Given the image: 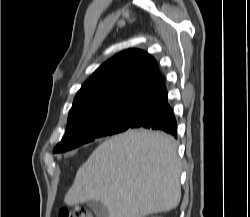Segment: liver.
Wrapping results in <instances>:
<instances>
[{
  "label": "liver",
  "mask_w": 250,
  "mask_h": 217,
  "mask_svg": "<svg viewBox=\"0 0 250 217\" xmlns=\"http://www.w3.org/2000/svg\"><path fill=\"white\" fill-rule=\"evenodd\" d=\"M177 143L162 132L131 130L100 144L78 169L64 197L68 206L88 201L109 217H145L176 208L181 199Z\"/></svg>",
  "instance_id": "obj_1"
}]
</instances>
